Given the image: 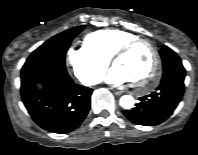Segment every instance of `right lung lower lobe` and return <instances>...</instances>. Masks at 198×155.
<instances>
[{
	"instance_id": "98d812e1",
	"label": "right lung lower lobe",
	"mask_w": 198,
	"mask_h": 155,
	"mask_svg": "<svg viewBox=\"0 0 198 155\" xmlns=\"http://www.w3.org/2000/svg\"><path fill=\"white\" fill-rule=\"evenodd\" d=\"M43 84L38 90L36 84ZM22 101L33 120L54 133L75 130L90 109L91 88L73 83L65 66L31 61L21 70Z\"/></svg>"
}]
</instances>
